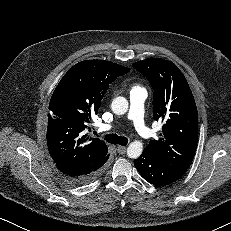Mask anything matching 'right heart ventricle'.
<instances>
[{"mask_svg": "<svg viewBox=\"0 0 231 231\" xmlns=\"http://www.w3.org/2000/svg\"><path fill=\"white\" fill-rule=\"evenodd\" d=\"M138 88H140V87H139V86H134V87L132 88V90H133V89H138Z\"/></svg>", "mask_w": 231, "mask_h": 231, "instance_id": "1", "label": "right heart ventricle"}]
</instances>
